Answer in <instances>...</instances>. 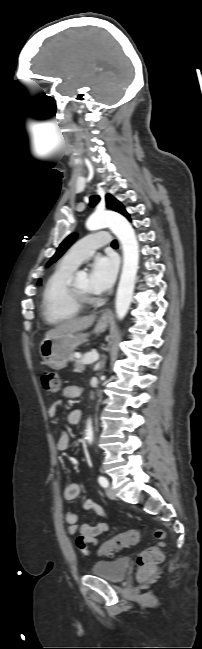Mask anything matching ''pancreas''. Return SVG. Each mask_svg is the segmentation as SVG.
I'll return each mask as SVG.
<instances>
[{
    "mask_svg": "<svg viewBox=\"0 0 202 649\" xmlns=\"http://www.w3.org/2000/svg\"><path fill=\"white\" fill-rule=\"evenodd\" d=\"M85 370L83 359L76 360L74 372L81 373Z\"/></svg>",
    "mask_w": 202,
    "mask_h": 649,
    "instance_id": "cf45deb5",
    "label": "pancreas"
}]
</instances>
